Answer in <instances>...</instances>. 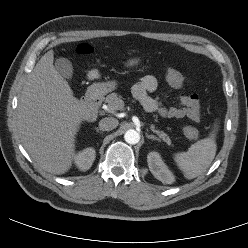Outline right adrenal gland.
<instances>
[{"instance_id": "obj_1", "label": "right adrenal gland", "mask_w": 248, "mask_h": 248, "mask_svg": "<svg viewBox=\"0 0 248 248\" xmlns=\"http://www.w3.org/2000/svg\"><path fill=\"white\" fill-rule=\"evenodd\" d=\"M94 129H95L96 132H98V133H103L98 127H95Z\"/></svg>"}]
</instances>
